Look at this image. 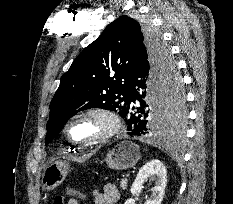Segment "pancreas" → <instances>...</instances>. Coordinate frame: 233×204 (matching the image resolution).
<instances>
[{"label":"pancreas","instance_id":"obj_1","mask_svg":"<svg viewBox=\"0 0 233 204\" xmlns=\"http://www.w3.org/2000/svg\"><path fill=\"white\" fill-rule=\"evenodd\" d=\"M120 189L122 190H125L127 188V180L126 179H123L121 182H120Z\"/></svg>","mask_w":233,"mask_h":204}]
</instances>
